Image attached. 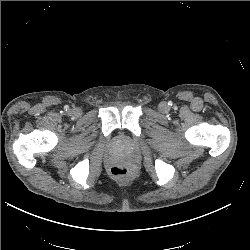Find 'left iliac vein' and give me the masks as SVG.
Returning a JSON list of instances; mask_svg holds the SVG:
<instances>
[{
  "label": "left iliac vein",
  "mask_w": 250,
  "mask_h": 250,
  "mask_svg": "<svg viewBox=\"0 0 250 250\" xmlns=\"http://www.w3.org/2000/svg\"><path fill=\"white\" fill-rule=\"evenodd\" d=\"M159 109H160L161 112L166 113V112L169 111V106L167 105V103L162 102V103L159 105Z\"/></svg>",
  "instance_id": "obj_1"
}]
</instances>
